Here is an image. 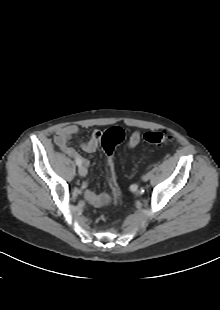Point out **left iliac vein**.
<instances>
[{
  "instance_id": "left-iliac-vein-1",
  "label": "left iliac vein",
  "mask_w": 220,
  "mask_h": 310,
  "mask_svg": "<svg viewBox=\"0 0 220 310\" xmlns=\"http://www.w3.org/2000/svg\"><path fill=\"white\" fill-rule=\"evenodd\" d=\"M148 179H149V175L148 174L143 176V181H148Z\"/></svg>"
}]
</instances>
